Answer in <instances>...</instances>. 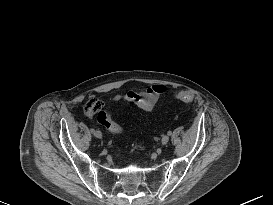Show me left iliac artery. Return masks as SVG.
<instances>
[{
    "label": "left iliac artery",
    "mask_w": 273,
    "mask_h": 205,
    "mask_svg": "<svg viewBox=\"0 0 273 205\" xmlns=\"http://www.w3.org/2000/svg\"><path fill=\"white\" fill-rule=\"evenodd\" d=\"M169 136L172 134V131H168V133H167Z\"/></svg>",
    "instance_id": "44dca946"
}]
</instances>
